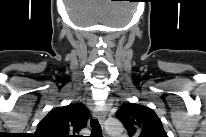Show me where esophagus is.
Masks as SVG:
<instances>
[{"instance_id":"34e87169","label":"esophagus","mask_w":206,"mask_h":137,"mask_svg":"<svg viewBox=\"0 0 206 137\" xmlns=\"http://www.w3.org/2000/svg\"><path fill=\"white\" fill-rule=\"evenodd\" d=\"M95 116L98 118L99 124L101 125L102 129L104 130V125H105V111L101 110L100 112H96ZM106 137V136H104Z\"/></svg>"}]
</instances>
